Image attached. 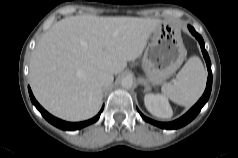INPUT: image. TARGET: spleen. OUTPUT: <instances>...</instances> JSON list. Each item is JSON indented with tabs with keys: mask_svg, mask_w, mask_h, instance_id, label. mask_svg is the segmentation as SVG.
<instances>
[{
	"mask_svg": "<svg viewBox=\"0 0 238 158\" xmlns=\"http://www.w3.org/2000/svg\"><path fill=\"white\" fill-rule=\"evenodd\" d=\"M206 84V72L199 57L188 59L172 83L161 87L163 95L174 103L192 106L201 97Z\"/></svg>",
	"mask_w": 238,
	"mask_h": 158,
	"instance_id": "spleen-1",
	"label": "spleen"
}]
</instances>
